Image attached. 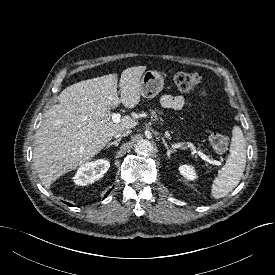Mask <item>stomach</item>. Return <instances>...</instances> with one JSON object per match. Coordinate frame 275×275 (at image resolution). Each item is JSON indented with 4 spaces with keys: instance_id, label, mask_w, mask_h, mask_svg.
I'll use <instances>...</instances> for the list:
<instances>
[{
    "instance_id": "0dacf381",
    "label": "stomach",
    "mask_w": 275,
    "mask_h": 275,
    "mask_svg": "<svg viewBox=\"0 0 275 275\" xmlns=\"http://www.w3.org/2000/svg\"><path fill=\"white\" fill-rule=\"evenodd\" d=\"M164 86L163 76L153 70L146 71L140 81V93L142 97L151 99L158 95Z\"/></svg>"
}]
</instances>
